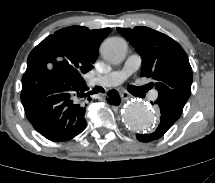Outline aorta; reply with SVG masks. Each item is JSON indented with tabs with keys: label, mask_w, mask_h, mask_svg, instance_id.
Segmentation results:
<instances>
[{
	"label": "aorta",
	"mask_w": 215,
	"mask_h": 183,
	"mask_svg": "<svg viewBox=\"0 0 215 183\" xmlns=\"http://www.w3.org/2000/svg\"><path fill=\"white\" fill-rule=\"evenodd\" d=\"M101 54L112 64L121 63L127 53L126 41L119 37L105 40L101 45ZM125 126L135 132H148L156 125L155 113L140 101H130L122 109Z\"/></svg>",
	"instance_id": "762f6f07"
}]
</instances>
